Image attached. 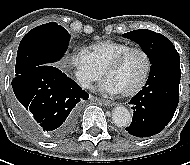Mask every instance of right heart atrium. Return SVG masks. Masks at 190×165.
I'll return each mask as SVG.
<instances>
[{"mask_svg":"<svg viewBox=\"0 0 190 165\" xmlns=\"http://www.w3.org/2000/svg\"><path fill=\"white\" fill-rule=\"evenodd\" d=\"M69 64L81 86L90 88L103 76V71L95 64L90 52L84 47L75 49L69 56Z\"/></svg>","mask_w":190,"mask_h":165,"instance_id":"right-heart-atrium-1","label":"right heart atrium"}]
</instances>
